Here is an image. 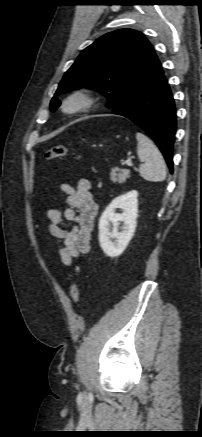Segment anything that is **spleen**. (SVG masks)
I'll use <instances>...</instances> for the list:
<instances>
[{
  "label": "spleen",
  "mask_w": 202,
  "mask_h": 437,
  "mask_svg": "<svg viewBox=\"0 0 202 437\" xmlns=\"http://www.w3.org/2000/svg\"><path fill=\"white\" fill-rule=\"evenodd\" d=\"M137 154L142 162L139 172L142 178L150 182H162L166 179V164L155 144L144 134L136 133Z\"/></svg>",
  "instance_id": "1"
}]
</instances>
